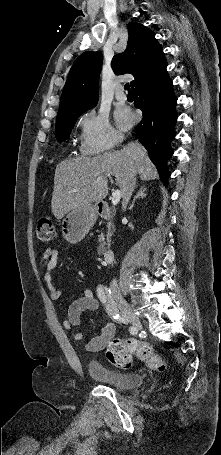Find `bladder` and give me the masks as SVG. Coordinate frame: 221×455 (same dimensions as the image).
I'll return each instance as SVG.
<instances>
[{
  "mask_svg": "<svg viewBox=\"0 0 221 455\" xmlns=\"http://www.w3.org/2000/svg\"><path fill=\"white\" fill-rule=\"evenodd\" d=\"M87 371L91 377L118 390L135 389L142 384L141 375L120 372L95 360L87 363Z\"/></svg>",
  "mask_w": 221,
  "mask_h": 455,
  "instance_id": "bladder-1",
  "label": "bladder"
}]
</instances>
